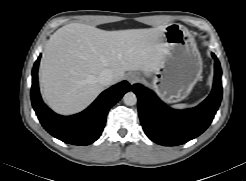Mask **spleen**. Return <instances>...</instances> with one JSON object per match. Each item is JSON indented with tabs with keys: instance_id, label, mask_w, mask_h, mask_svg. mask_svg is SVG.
I'll list each match as a JSON object with an SVG mask.
<instances>
[{
	"instance_id": "obj_1",
	"label": "spleen",
	"mask_w": 246,
	"mask_h": 181,
	"mask_svg": "<svg viewBox=\"0 0 246 181\" xmlns=\"http://www.w3.org/2000/svg\"><path fill=\"white\" fill-rule=\"evenodd\" d=\"M188 106H189L188 104H177V105H174L173 107L176 109H184V108H187Z\"/></svg>"
}]
</instances>
